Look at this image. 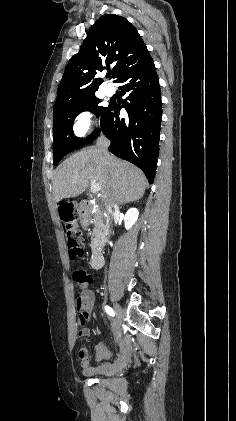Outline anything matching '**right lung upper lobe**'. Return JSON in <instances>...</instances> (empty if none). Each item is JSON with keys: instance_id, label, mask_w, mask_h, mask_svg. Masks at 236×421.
Wrapping results in <instances>:
<instances>
[{"instance_id": "cb5924a9", "label": "right lung upper lobe", "mask_w": 236, "mask_h": 421, "mask_svg": "<svg viewBox=\"0 0 236 421\" xmlns=\"http://www.w3.org/2000/svg\"><path fill=\"white\" fill-rule=\"evenodd\" d=\"M149 55L136 28L124 17L102 15L90 28L79 52L69 61L60 82L54 109L95 95L103 82L98 72L112 68L113 78Z\"/></svg>"}]
</instances>
